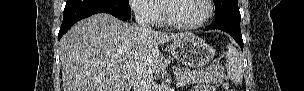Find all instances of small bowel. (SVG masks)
Listing matches in <instances>:
<instances>
[{
  "label": "small bowel",
  "instance_id": "c3829d8e",
  "mask_svg": "<svg viewBox=\"0 0 304 91\" xmlns=\"http://www.w3.org/2000/svg\"><path fill=\"white\" fill-rule=\"evenodd\" d=\"M214 89L205 83L199 84L193 88V91H213Z\"/></svg>",
  "mask_w": 304,
  "mask_h": 91
}]
</instances>
